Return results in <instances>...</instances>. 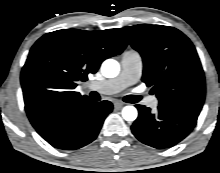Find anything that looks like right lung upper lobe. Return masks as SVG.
<instances>
[{
	"label": "right lung upper lobe",
	"mask_w": 220,
	"mask_h": 173,
	"mask_svg": "<svg viewBox=\"0 0 220 173\" xmlns=\"http://www.w3.org/2000/svg\"><path fill=\"white\" fill-rule=\"evenodd\" d=\"M126 46L118 29H68L42 36L31 48L21 73L25 107L38 105V110L29 114L30 120L63 102L60 97H82L73 91L75 81H86L105 59L121 54Z\"/></svg>",
	"instance_id": "obj_1"
}]
</instances>
